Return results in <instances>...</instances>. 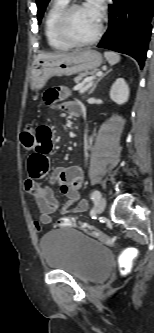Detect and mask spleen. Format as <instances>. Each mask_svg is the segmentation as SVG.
<instances>
[{
  "label": "spleen",
  "mask_w": 154,
  "mask_h": 333,
  "mask_svg": "<svg viewBox=\"0 0 154 333\" xmlns=\"http://www.w3.org/2000/svg\"><path fill=\"white\" fill-rule=\"evenodd\" d=\"M104 56L110 65L117 64L121 59L120 55L113 51H105Z\"/></svg>",
  "instance_id": "3e777b00"
}]
</instances>
